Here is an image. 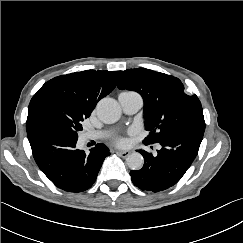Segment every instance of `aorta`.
<instances>
[{"mask_svg": "<svg viewBox=\"0 0 243 243\" xmlns=\"http://www.w3.org/2000/svg\"><path fill=\"white\" fill-rule=\"evenodd\" d=\"M98 118L106 123L112 124L119 120L121 116V108L117 101L111 98L100 100L96 106ZM126 163L131 170H140L144 164L143 156L138 152L129 154Z\"/></svg>", "mask_w": 243, "mask_h": 243, "instance_id": "762f6f07", "label": "aorta"}]
</instances>
